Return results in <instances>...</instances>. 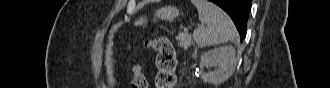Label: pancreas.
Segmentation results:
<instances>
[{"label":"pancreas","instance_id":"cf45deb5","mask_svg":"<svg viewBox=\"0 0 330 88\" xmlns=\"http://www.w3.org/2000/svg\"><path fill=\"white\" fill-rule=\"evenodd\" d=\"M176 38L183 49L187 50L193 44L191 35L186 32H180Z\"/></svg>","mask_w":330,"mask_h":88}]
</instances>
